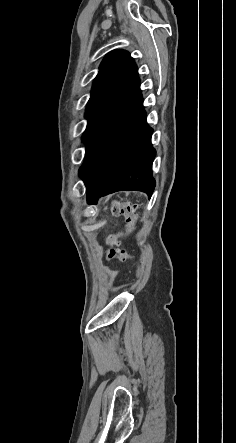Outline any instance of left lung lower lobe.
<instances>
[{"mask_svg":"<svg viewBox=\"0 0 236 443\" xmlns=\"http://www.w3.org/2000/svg\"><path fill=\"white\" fill-rule=\"evenodd\" d=\"M153 129L146 122L140 80L83 134L85 161L80 176L86 185L88 203L120 190H139L149 198L155 188L151 144Z\"/></svg>","mask_w":236,"mask_h":443,"instance_id":"0a47b994","label":"left lung lower lobe"}]
</instances>
